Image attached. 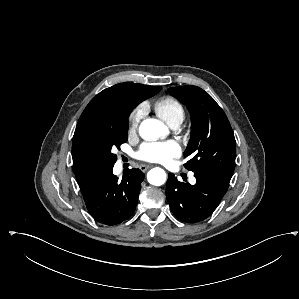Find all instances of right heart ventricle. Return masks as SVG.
<instances>
[{"mask_svg":"<svg viewBox=\"0 0 299 299\" xmlns=\"http://www.w3.org/2000/svg\"><path fill=\"white\" fill-rule=\"evenodd\" d=\"M155 112L169 125L181 123L184 119V108L179 100L164 96L154 103Z\"/></svg>","mask_w":299,"mask_h":299,"instance_id":"obj_1","label":"right heart ventricle"}]
</instances>
